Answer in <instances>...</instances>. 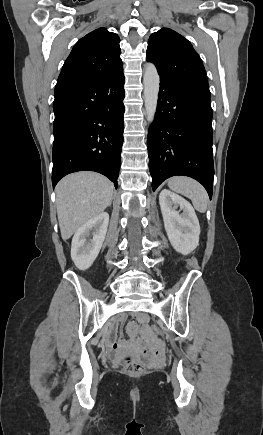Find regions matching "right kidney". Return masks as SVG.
<instances>
[{
	"mask_svg": "<svg viewBox=\"0 0 263 435\" xmlns=\"http://www.w3.org/2000/svg\"><path fill=\"white\" fill-rule=\"evenodd\" d=\"M109 215L102 212L80 226L72 239L71 258L80 270L88 269L98 256L106 236Z\"/></svg>",
	"mask_w": 263,
	"mask_h": 435,
	"instance_id": "right-kidney-1",
	"label": "right kidney"
}]
</instances>
